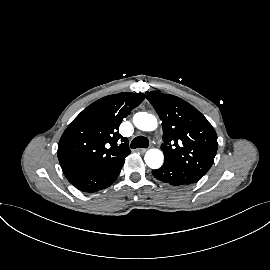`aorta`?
<instances>
[{"label": "aorta", "mask_w": 270, "mask_h": 270, "mask_svg": "<svg viewBox=\"0 0 270 270\" xmlns=\"http://www.w3.org/2000/svg\"><path fill=\"white\" fill-rule=\"evenodd\" d=\"M133 123L135 127L143 131H154L158 126L156 117L147 112L136 113L133 116ZM144 160L148 167L158 169L164 162V155L158 149H150L146 152Z\"/></svg>", "instance_id": "aorta-1"}]
</instances>
